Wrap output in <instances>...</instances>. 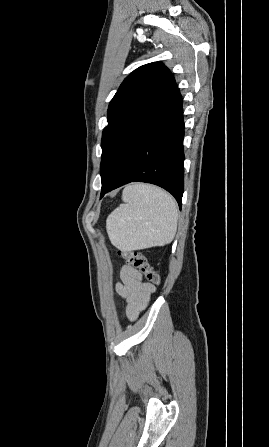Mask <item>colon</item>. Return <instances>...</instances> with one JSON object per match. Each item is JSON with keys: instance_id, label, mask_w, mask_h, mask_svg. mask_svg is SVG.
Instances as JSON below:
<instances>
[{"instance_id": "obj_1", "label": "colon", "mask_w": 269, "mask_h": 447, "mask_svg": "<svg viewBox=\"0 0 269 447\" xmlns=\"http://www.w3.org/2000/svg\"><path fill=\"white\" fill-rule=\"evenodd\" d=\"M119 256L131 266L137 268L153 285L161 282L159 273L148 263L144 254L140 251H120Z\"/></svg>"}]
</instances>
